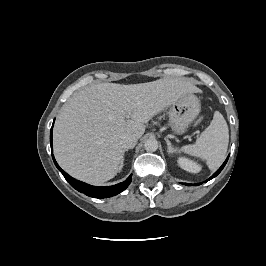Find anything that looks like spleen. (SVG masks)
<instances>
[{
  "label": "spleen",
  "mask_w": 266,
  "mask_h": 266,
  "mask_svg": "<svg viewBox=\"0 0 266 266\" xmlns=\"http://www.w3.org/2000/svg\"><path fill=\"white\" fill-rule=\"evenodd\" d=\"M229 142L227 123L219 111L214 113L210 125L201 133L195 144L182 147L188 155L206 161L209 169H217L224 161Z\"/></svg>",
  "instance_id": "1"
}]
</instances>
